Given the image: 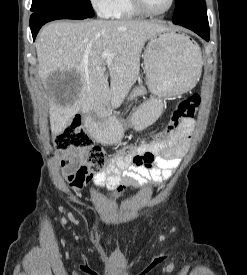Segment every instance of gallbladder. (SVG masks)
Listing matches in <instances>:
<instances>
[{
	"instance_id": "gallbladder-1",
	"label": "gallbladder",
	"mask_w": 247,
	"mask_h": 275,
	"mask_svg": "<svg viewBox=\"0 0 247 275\" xmlns=\"http://www.w3.org/2000/svg\"><path fill=\"white\" fill-rule=\"evenodd\" d=\"M46 87L51 96L60 103H64L79 88L80 83L76 73L57 71L50 75L46 81Z\"/></svg>"
}]
</instances>
